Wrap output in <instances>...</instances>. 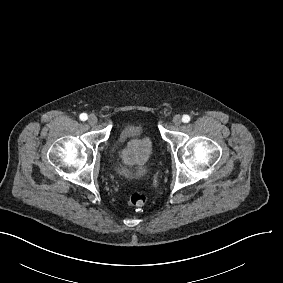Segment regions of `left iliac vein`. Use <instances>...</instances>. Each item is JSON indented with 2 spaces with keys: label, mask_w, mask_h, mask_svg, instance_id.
Instances as JSON below:
<instances>
[{
  "label": "left iliac vein",
  "mask_w": 283,
  "mask_h": 283,
  "mask_svg": "<svg viewBox=\"0 0 283 283\" xmlns=\"http://www.w3.org/2000/svg\"><path fill=\"white\" fill-rule=\"evenodd\" d=\"M172 121L175 126H180L182 123V118L179 115H175Z\"/></svg>",
  "instance_id": "left-iliac-vein-1"
}]
</instances>
